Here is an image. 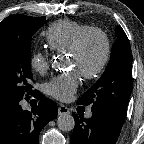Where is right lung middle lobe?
Returning a JSON list of instances; mask_svg holds the SVG:
<instances>
[{"label": "right lung middle lobe", "instance_id": "obj_1", "mask_svg": "<svg viewBox=\"0 0 144 144\" xmlns=\"http://www.w3.org/2000/svg\"><path fill=\"white\" fill-rule=\"evenodd\" d=\"M44 22L45 17L13 15L0 23V98L10 107L31 91L30 42Z\"/></svg>", "mask_w": 144, "mask_h": 144}]
</instances>
